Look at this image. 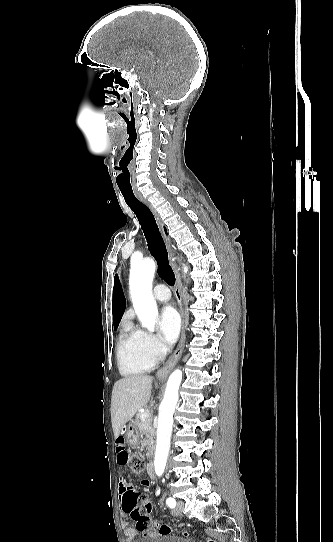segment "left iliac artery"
Returning <instances> with one entry per match:
<instances>
[{"label":"left iliac artery","instance_id":"left-iliac-artery-1","mask_svg":"<svg viewBox=\"0 0 333 542\" xmlns=\"http://www.w3.org/2000/svg\"><path fill=\"white\" fill-rule=\"evenodd\" d=\"M166 503H167V505H168L170 508H173V507H175V505H176V501H175L173 498H168V499L166 500Z\"/></svg>","mask_w":333,"mask_h":542}]
</instances>
